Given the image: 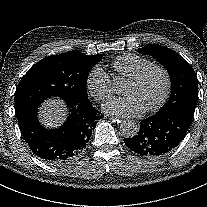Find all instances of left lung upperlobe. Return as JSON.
<instances>
[{"instance_id": "left-lung-upper-lobe-1", "label": "left lung upper lobe", "mask_w": 207, "mask_h": 207, "mask_svg": "<svg viewBox=\"0 0 207 207\" xmlns=\"http://www.w3.org/2000/svg\"><path fill=\"white\" fill-rule=\"evenodd\" d=\"M137 51L154 57L170 75V98L157 113L180 111L193 118L198 100V79L191 65L164 46L148 45Z\"/></svg>"}]
</instances>
